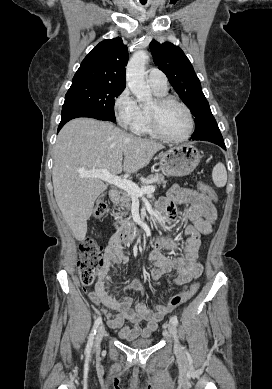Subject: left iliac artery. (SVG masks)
Returning <instances> with one entry per match:
<instances>
[{
	"instance_id": "44dca946",
	"label": "left iliac artery",
	"mask_w": 272,
	"mask_h": 389,
	"mask_svg": "<svg viewBox=\"0 0 272 389\" xmlns=\"http://www.w3.org/2000/svg\"><path fill=\"white\" fill-rule=\"evenodd\" d=\"M170 320H171V322L174 323L175 325L178 324V319H177L176 316H172Z\"/></svg>"
}]
</instances>
